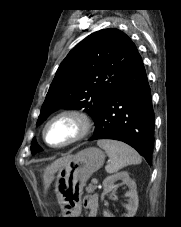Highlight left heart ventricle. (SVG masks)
<instances>
[{
    "instance_id": "1",
    "label": "left heart ventricle",
    "mask_w": 181,
    "mask_h": 227,
    "mask_svg": "<svg viewBox=\"0 0 181 227\" xmlns=\"http://www.w3.org/2000/svg\"><path fill=\"white\" fill-rule=\"evenodd\" d=\"M77 132V125L70 119L62 118L53 122L47 129V141L59 145L70 139Z\"/></svg>"
}]
</instances>
